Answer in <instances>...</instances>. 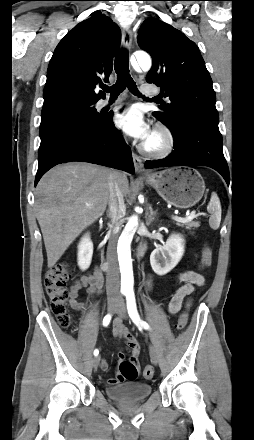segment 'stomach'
Wrapping results in <instances>:
<instances>
[{"instance_id": "0dacf381", "label": "stomach", "mask_w": 254, "mask_h": 440, "mask_svg": "<svg viewBox=\"0 0 254 440\" xmlns=\"http://www.w3.org/2000/svg\"><path fill=\"white\" fill-rule=\"evenodd\" d=\"M169 204L177 208H189L197 204L205 191L201 174L193 168L175 167L144 177Z\"/></svg>"}]
</instances>
